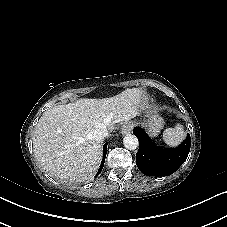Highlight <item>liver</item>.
<instances>
[{"label":"liver","instance_id":"liver-1","mask_svg":"<svg viewBox=\"0 0 227 227\" xmlns=\"http://www.w3.org/2000/svg\"><path fill=\"white\" fill-rule=\"evenodd\" d=\"M142 92L126 89L103 99H80L45 111L35 126L33 149L41 167L66 182L92 179L102 159V140L95 131L136 117L143 108Z\"/></svg>","mask_w":227,"mask_h":227}]
</instances>
